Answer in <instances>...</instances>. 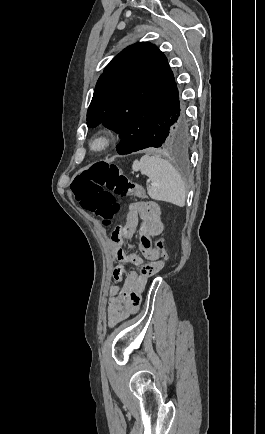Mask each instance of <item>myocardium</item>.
<instances>
[{"label": "myocardium", "instance_id": "obj_1", "mask_svg": "<svg viewBox=\"0 0 265 434\" xmlns=\"http://www.w3.org/2000/svg\"><path fill=\"white\" fill-rule=\"evenodd\" d=\"M113 144V136L110 132H100L91 136L86 142V150L94 156L106 153Z\"/></svg>", "mask_w": 265, "mask_h": 434}]
</instances>
